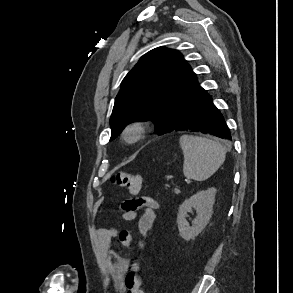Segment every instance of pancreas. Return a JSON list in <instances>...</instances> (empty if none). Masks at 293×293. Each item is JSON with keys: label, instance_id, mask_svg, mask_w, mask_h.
I'll return each mask as SVG.
<instances>
[{"label": "pancreas", "instance_id": "1", "mask_svg": "<svg viewBox=\"0 0 293 293\" xmlns=\"http://www.w3.org/2000/svg\"><path fill=\"white\" fill-rule=\"evenodd\" d=\"M173 192H174L175 194H178V193L180 192V190H179L178 188H175V189L173 190Z\"/></svg>", "mask_w": 293, "mask_h": 293}]
</instances>
